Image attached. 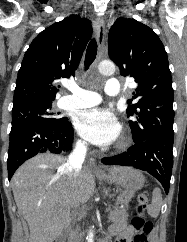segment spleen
Here are the masks:
<instances>
[{
	"instance_id": "spleen-1",
	"label": "spleen",
	"mask_w": 187,
	"mask_h": 242,
	"mask_svg": "<svg viewBox=\"0 0 187 242\" xmlns=\"http://www.w3.org/2000/svg\"><path fill=\"white\" fill-rule=\"evenodd\" d=\"M161 205H162L161 190L156 187L152 193V204L148 207L149 215L153 218L158 217Z\"/></svg>"
}]
</instances>
